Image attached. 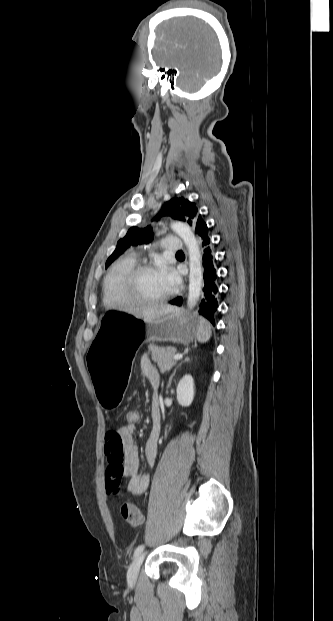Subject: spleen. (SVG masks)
<instances>
[{"mask_svg": "<svg viewBox=\"0 0 333 621\" xmlns=\"http://www.w3.org/2000/svg\"><path fill=\"white\" fill-rule=\"evenodd\" d=\"M198 332H197V340L200 343L207 342L212 334L210 323L203 317H200L198 320Z\"/></svg>", "mask_w": 333, "mask_h": 621, "instance_id": "1", "label": "spleen"}]
</instances>
